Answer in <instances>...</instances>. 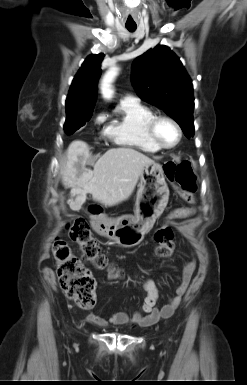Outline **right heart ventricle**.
Segmentation results:
<instances>
[{"label": "right heart ventricle", "instance_id": "1", "mask_svg": "<svg viewBox=\"0 0 247 385\" xmlns=\"http://www.w3.org/2000/svg\"><path fill=\"white\" fill-rule=\"evenodd\" d=\"M155 113L139 102H121L116 117L106 129V135L115 144L132 147L146 153H157L160 149L147 133V123Z\"/></svg>", "mask_w": 247, "mask_h": 385}]
</instances>
